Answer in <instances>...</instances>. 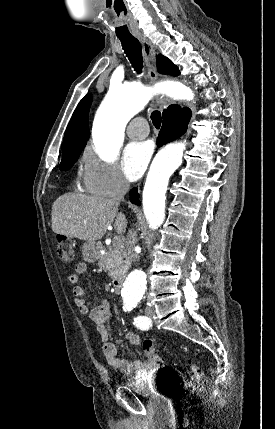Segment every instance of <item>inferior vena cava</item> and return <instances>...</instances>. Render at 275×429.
Here are the masks:
<instances>
[{"instance_id": "inferior-vena-cava-1", "label": "inferior vena cava", "mask_w": 275, "mask_h": 429, "mask_svg": "<svg viewBox=\"0 0 275 429\" xmlns=\"http://www.w3.org/2000/svg\"><path fill=\"white\" fill-rule=\"evenodd\" d=\"M129 183L126 180H121L116 196L114 197V200L117 202H120L121 200L124 199L125 194L127 193L128 189H129ZM137 244V235L136 232L131 229L128 232L126 241H125V246H126V250H127V259L128 261H135L136 259H138V255L135 253V246Z\"/></svg>"}]
</instances>
